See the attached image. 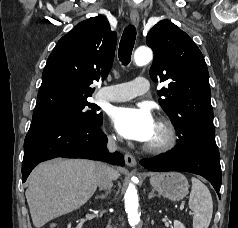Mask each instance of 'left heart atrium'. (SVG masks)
<instances>
[{
	"label": "left heart atrium",
	"mask_w": 238,
	"mask_h": 228,
	"mask_svg": "<svg viewBox=\"0 0 238 228\" xmlns=\"http://www.w3.org/2000/svg\"><path fill=\"white\" fill-rule=\"evenodd\" d=\"M112 123L125 139L148 142L154 134L156 123L147 108L122 106L111 112Z\"/></svg>",
	"instance_id": "obj_1"
}]
</instances>
